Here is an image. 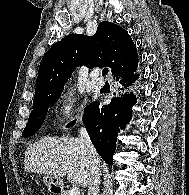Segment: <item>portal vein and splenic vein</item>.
Instances as JSON below:
<instances>
[{
	"label": "portal vein and splenic vein",
	"instance_id": "1",
	"mask_svg": "<svg viewBox=\"0 0 189 195\" xmlns=\"http://www.w3.org/2000/svg\"><path fill=\"white\" fill-rule=\"evenodd\" d=\"M69 195H80V190L78 187H73L69 190Z\"/></svg>",
	"mask_w": 189,
	"mask_h": 195
}]
</instances>
